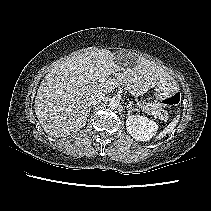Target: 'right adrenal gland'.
I'll return each mask as SVG.
<instances>
[{
    "label": "right adrenal gland",
    "instance_id": "obj_1",
    "mask_svg": "<svg viewBox=\"0 0 211 211\" xmlns=\"http://www.w3.org/2000/svg\"><path fill=\"white\" fill-rule=\"evenodd\" d=\"M91 108H89V114H90Z\"/></svg>",
    "mask_w": 211,
    "mask_h": 211
}]
</instances>
